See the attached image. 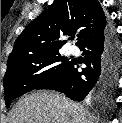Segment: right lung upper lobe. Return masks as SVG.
I'll list each match as a JSON object with an SVG mask.
<instances>
[{
  "label": "right lung upper lobe",
  "mask_w": 122,
  "mask_h": 123,
  "mask_svg": "<svg viewBox=\"0 0 122 123\" xmlns=\"http://www.w3.org/2000/svg\"><path fill=\"white\" fill-rule=\"evenodd\" d=\"M105 24L106 17L98 0H54L18 36L7 67L32 56L59 51L66 43L62 37L72 36L78 29L79 46Z\"/></svg>",
  "instance_id": "cb5924a9"
}]
</instances>
